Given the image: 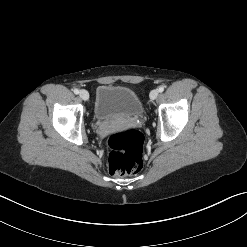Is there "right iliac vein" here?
<instances>
[{"instance_id":"right-iliac-vein-1","label":"right iliac vein","mask_w":247,"mask_h":247,"mask_svg":"<svg viewBox=\"0 0 247 247\" xmlns=\"http://www.w3.org/2000/svg\"><path fill=\"white\" fill-rule=\"evenodd\" d=\"M79 96H80V98L82 99V100H88L89 99V93H88V91H86V90H81L80 92H79Z\"/></svg>"}]
</instances>
